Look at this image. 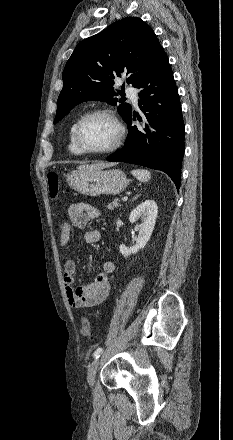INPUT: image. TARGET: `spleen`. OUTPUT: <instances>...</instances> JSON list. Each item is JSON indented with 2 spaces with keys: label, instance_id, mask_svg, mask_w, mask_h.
<instances>
[{
  "label": "spleen",
  "instance_id": "3e777b00",
  "mask_svg": "<svg viewBox=\"0 0 233 440\" xmlns=\"http://www.w3.org/2000/svg\"><path fill=\"white\" fill-rule=\"evenodd\" d=\"M131 174L137 178L139 181L142 182H147L150 180L151 178V174L148 170L145 169H136V170H132Z\"/></svg>",
  "mask_w": 233,
  "mask_h": 440
}]
</instances>
